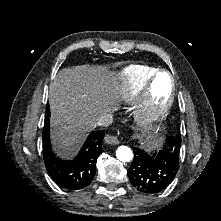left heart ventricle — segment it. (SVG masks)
<instances>
[{"label":"left heart ventricle","mask_w":221,"mask_h":221,"mask_svg":"<svg viewBox=\"0 0 221 221\" xmlns=\"http://www.w3.org/2000/svg\"><path fill=\"white\" fill-rule=\"evenodd\" d=\"M170 93V80L166 74L157 77L153 89L152 99L155 106H160L166 102Z\"/></svg>","instance_id":"left-heart-ventricle-1"}]
</instances>
